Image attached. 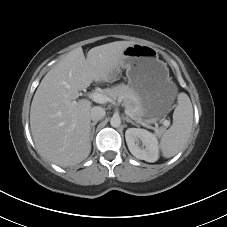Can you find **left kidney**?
Segmentation results:
<instances>
[{
    "label": "left kidney",
    "instance_id": "5707ae66",
    "mask_svg": "<svg viewBox=\"0 0 227 227\" xmlns=\"http://www.w3.org/2000/svg\"><path fill=\"white\" fill-rule=\"evenodd\" d=\"M128 148L133 156L147 162H155L159 157L157 137L145 129L128 128L125 132ZM142 142V147L140 146Z\"/></svg>",
    "mask_w": 227,
    "mask_h": 227
}]
</instances>
